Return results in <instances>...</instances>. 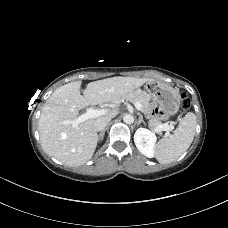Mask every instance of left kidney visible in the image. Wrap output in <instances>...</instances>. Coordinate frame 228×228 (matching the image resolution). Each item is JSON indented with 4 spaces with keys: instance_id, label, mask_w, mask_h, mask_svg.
Here are the masks:
<instances>
[{
    "instance_id": "obj_1",
    "label": "left kidney",
    "mask_w": 228,
    "mask_h": 228,
    "mask_svg": "<svg viewBox=\"0 0 228 228\" xmlns=\"http://www.w3.org/2000/svg\"><path fill=\"white\" fill-rule=\"evenodd\" d=\"M134 142L143 155L148 158L154 157L156 136L152 131L138 128L134 134Z\"/></svg>"
}]
</instances>
